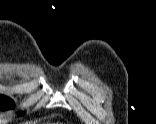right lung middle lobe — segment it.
<instances>
[{
  "mask_svg": "<svg viewBox=\"0 0 156 124\" xmlns=\"http://www.w3.org/2000/svg\"><path fill=\"white\" fill-rule=\"evenodd\" d=\"M14 102L7 96L0 95V110H8L13 108Z\"/></svg>",
  "mask_w": 156,
  "mask_h": 124,
  "instance_id": "1",
  "label": "right lung middle lobe"
}]
</instances>
